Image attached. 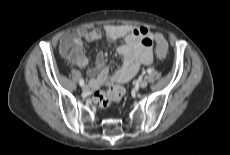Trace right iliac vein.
<instances>
[{"label": "right iliac vein", "instance_id": "obj_1", "mask_svg": "<svg viewBox=\"0 0 230 155\" xmlns=\"http://www.w3.org/2000/svg\"><path fill=\"white\" fill-rule=\"evenodd\" d=\"M82 90H83L84 92H88V91H89V86H88V85H83V86H82Z\"/></svg>", "mask_w": 230, "mask_h": 155}]
</instances>
